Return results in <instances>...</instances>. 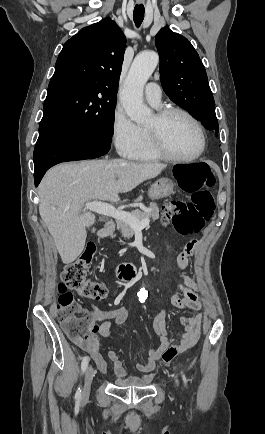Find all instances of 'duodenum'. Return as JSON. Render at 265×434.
<instances>
[{
  "label": "duodenum",
  "instance_id": "410a0bca",
  "mask_svg": "<svg viewBox=\"0 0 265 434\" xmlns=\"http://www.w3.org/2000/svg\"><path fill=\"white\" fill-rule=\"evenodd\" d=\"M114 231V226L112 223H106L99 227L97 230L98 236H104L112 233ZM114 271L116 275L126 282H135L137 280L136 268L132 264L120 263L115 268Z\"/></svg>",
  "mask_w": 265,
  "mask_h": 434
}]
</instances>
